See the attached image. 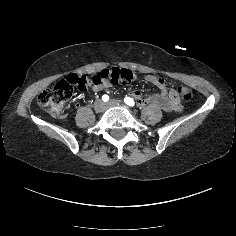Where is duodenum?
I'll return each instance as SVG.
<instances>
[{"label":"duodenum","instance_id":"410a0bca","mask_svg":"<svg viewBox=\"0 0 236 236\" xmlns=\"http://www.w3.org/2000/svg\"><path fill=\"white\" fill-rule=\"evenodd\" d=\"M141 106H146L151 103L159 104L165 110H178L180 105L173 96L159 95L151 98H142L139 100Z\"/></svg>","mask_w":236,"mask_h":236}]
</instances>
